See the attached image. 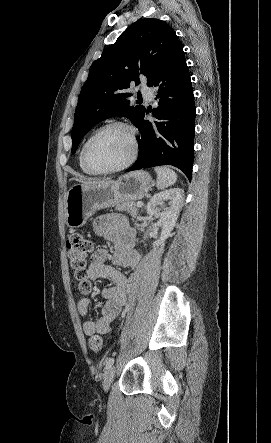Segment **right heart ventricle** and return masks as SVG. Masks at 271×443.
I'll return each instance as SVG.
<instances>
[{
	"mask_svg": "<svg viewBox=\"0 0 271 443\" xmlns=\"http://www.w3.org/2000/svg\"><path fill=\"white\" fill-rule=\"evenodd\" d=\"M88 138H89V137H87V138L83 141V143H82V145H81V147H80V149H79V151H78V155H77V165H78V167H79V169H80V171H81L82 173H84V174H86V175H89V176H92V175H95V173L92 172V171H90V170L84 165L83 160H82V149H83V146H84V144H85V142H86V140H87Z\"/></svg>",
	"mask_w": 271,
	"mask_h": 443,
	"instance_id": "right-heart-ventricle-1",
	"label": "right heart ventricle"
}]
</instances>
